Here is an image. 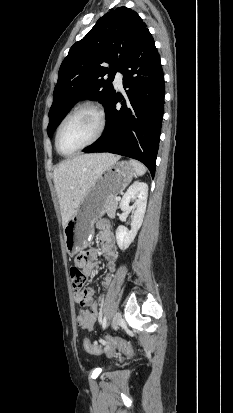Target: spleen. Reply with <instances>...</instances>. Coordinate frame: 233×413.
Returning <instances> with one entry per match:
<instances>
[{"label":"spleen","instance_id":"1","mask_svg":"<svg viewBox=\"0 0 233 413\" xmlns=\"http://www.w3.org/2000/svg\"><path fill=\"white\" fill-rule=\"evenodd\" d=\"M130 163L133 166V168L135 170V174L137 176H142L146 173L147 169L142 163H140L136 160H130Z\"/></svg>","mask_w":233,"mask_h":413}]
</instances>
